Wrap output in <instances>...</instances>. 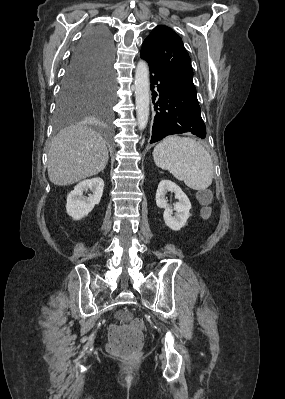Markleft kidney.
<instances>
[{
  "label": "left kidney",
  "mask_w": 285,
  "mask_h": 399,
  "mask_svg": "<svg viewBox=\"0 0 285 399\" xmlns=\"http://www.w3.org/2000/svg\"><path fill=\"white\" fill-rule=\"evenodd\" d=\"M167 192L174 193L176 199H178V202H176L173 207L169 206L165 198ZM156 205L159 208L165 209L163 219L166 226L170 229L178 231L187 224V219L190 216L189 211L191 209V203L187 195L174 182L162 180L159 183L156 192ZM173 210L176 211L175 216H172Z\"/></svg>",
  "instance_id": "obj_1"
}]
</instances>
